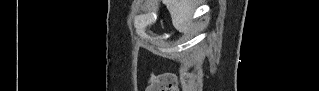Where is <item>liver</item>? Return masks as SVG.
Here are the masks:
<instances>
[{
	"mask_svg": "<svg viewBox=\"0 0 319 91\" xmlns=\"http://www.w3.org/2000/svg\"><path fill=\"white\" fill-rule=\"evenodd\" d=\"M192 0H180L175 1L172 7V12L174 14L173 23L180 29H185L187 27V20L193 12Z\"/></svg>",
	"mask_w": 319,
	"mask_h": 91,
	"instance_id": "obj_1",
	"label": "liver"
}]
</instances>
